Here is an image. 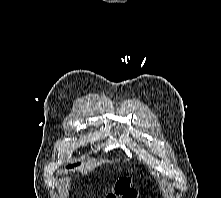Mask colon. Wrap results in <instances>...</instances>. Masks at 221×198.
Wrapping results in <instances>:
<instances>
[{
	"label": "colon",
	"instance_id": "obj_1",
	"mask_svg": "<svg viewBox=\"0 0 221 198\" xmlns=\"http://www.w3.org/2000/svg\"><path fill=\"white\" fill-rule=\"evenodd\" d=\"M137 191L132 188L129 178L120 179L115 186V191L106 198H136Z\"/></svg>",
	"mask_w": 221,
	"mask_h": 198
}]
</instances>
